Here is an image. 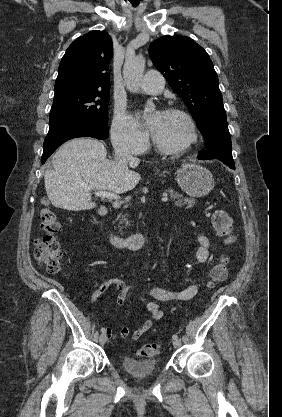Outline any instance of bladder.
Masks as SVG:
<instances>
[{
    "instance_id": "1",
    "label": "bladder",
    "mask_w": 282,
    "mask_h": 417,
    "mask_svg": "<svg viewBox=\"0 0 282 417\" xmlns=\"http://www.w3.org/2000/svg\"><path fill=\"white\" fill-rule=\"evenodd\" d=\"M121 367L131 377L143 380L155 373L157 361L154 359H138L132 356H124L121 360Z\"/></svg>"
}]
</instances>
